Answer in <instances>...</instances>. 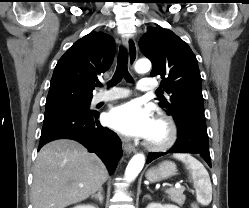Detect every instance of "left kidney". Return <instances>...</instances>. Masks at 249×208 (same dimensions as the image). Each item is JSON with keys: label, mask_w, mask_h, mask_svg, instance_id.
<instances>
[{"label": "left kidney", "mask_w": 249, "mask_h": 208, "mask_svg": "<svg viewBox=\"0 0 249 208\" xmlns=\"http://www.w3.org/2000/svg\"><path fill=\"white\" fill-rule=\"evenodd\" d=\"M146 208H179V207L172 204L162 205L160 203H150L147 205Z\"/></svg>", "instance_id": "obj_1"}]
</instances>
